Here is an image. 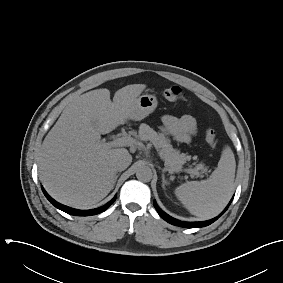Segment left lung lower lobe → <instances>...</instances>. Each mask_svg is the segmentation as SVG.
I'll return each mask as SVG.
<instances>
[{"label": "left lung lower lobe", "mask_w": 283, "mask_h": 283, "mask_svg": "<svg viewBox=\"0 0 283 283\" xmlns=\"http://www.w3.org/2000/svg\"><path fill=\"white\" fill-rule=\"evenodd\" d=\"M232 201V200H231ZM230 201V203H231ZM154 207L156 208L158 214L167 222H169L170 224L176 225V226H180V227H186V228H198V227H204V226H208L211 223H213L214 221H216L218 219V217L211 219L209 221H204V222H182L179 221L177 219L172 218L171 216H169L168 214H166L164 211H162L159 206L156 204V202L154 201ZM229 205L225 208V210L219 215L221 216L227 209H228Z\"/></svg>", "instance_id": "left-lung-lower-lobe-1"}]
</instances>
